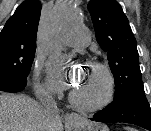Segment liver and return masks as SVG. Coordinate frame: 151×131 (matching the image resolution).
Returning <instances> with one entry per match:
<instances>
[{
	"label": "liver",
	"mask_w": 151,
	"mask_h": 131,
	"mask_svg": "<svg viewBox=\"0 0 151 131\" xmlns=\"http://www.w3.org/2000/svg\"><path fill=\"white\" fill-rule=\"evenodd\" d=\"M0 131H63V126L60 122L55 128L52 115L32 98L4 93L0 95Z\"/></svg>",
	"instance_id": "obj_1"
}]
</instances>
